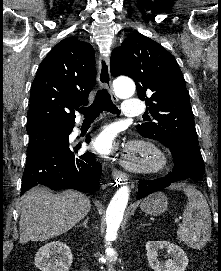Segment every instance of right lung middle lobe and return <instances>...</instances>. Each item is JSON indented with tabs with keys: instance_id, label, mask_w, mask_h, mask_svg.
Returning <instances> with one entry per match:
<instances>
[{
	"instance_id": "obj_1",
	"label": "right lung middle lobe",
	"mask_w": 221,
	"mask_h": 271,
	"mask_svg": "<svg viewBox=\"0 0 221 271\" xmlns=\"http://www.w3.org/2000/svg\"><path fill=\"white\" fill-rule=\"evenodd\" d=\"M72 129L73 127L46 126L27 131L29 134L27 154L44 147L67 146Z\"/></svg>"
}]
</instances>
